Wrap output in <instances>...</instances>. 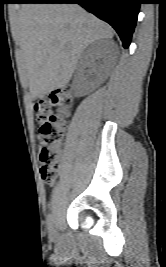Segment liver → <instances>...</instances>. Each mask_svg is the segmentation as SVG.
<instances>
[{
	"label": "liver",
	"mask_w": 166,
	"mask_h": 267,
	"mask_svg": "<svg viewBox=\"0 0 166 267\" xmlns=\"http://www.w3.org/2000/svg\"><path fill=\"white\" fill-rule=\"evenodd\" d=\"M112 28L77 4L22 5L13 28L20 75L34 99L69 83L83 50Z\"/></svg>",
	"instance_id": "obj_1"
}]
</instances>
